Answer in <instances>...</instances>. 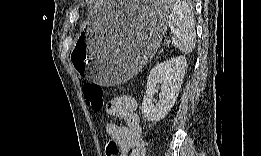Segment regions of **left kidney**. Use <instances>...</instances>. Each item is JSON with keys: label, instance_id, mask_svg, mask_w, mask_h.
<instances>
[{"label": "left kidney", "instance_id": "5707ae66", "mask_svg": "<svg viewBox=\"0 0 261 156\" xmlns=\"http://www.w3.org/2000/svg\"><path fill=\"white\" fill-rule=\"evenodd\" d=\"M187 61L184 56H178L157 64L147 78V89L142 101V114L151 122L165 118L173 107L185 75ZM161 84L162 98L154 104L153 97Z\"/></svg>", "mask_w": 261, "mask_h": 156}]
</instances>
